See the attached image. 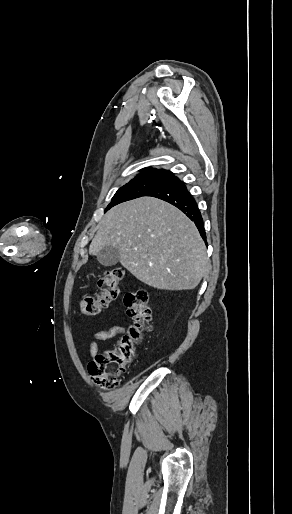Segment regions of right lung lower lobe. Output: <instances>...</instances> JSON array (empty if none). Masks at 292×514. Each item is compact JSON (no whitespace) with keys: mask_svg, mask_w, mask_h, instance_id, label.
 I'll list each match as a JSON object with an SVG mask.
<instances>
[{"mask_svg":"<svg viewBox=\"0 0 292 514\" xmlns=\"http://www.w3.org/2000/svg\"><path fill=\"white\" fill-rule=\"evenodd\" d=\"M143 196L156 197L176 206L195 223L201 237L206 240L204 223L198 205L186 185L178 177L171 175L148 190Z\"/></svg>","mask_w":292,"mask_h":514,"instance_id":"98d812e1","label":"right lung lower lobe"}]
</instances>
